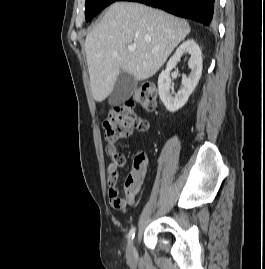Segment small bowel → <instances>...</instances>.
<instances>
[{
    "instance_id": "small-bowel-1",
    "label": "small bowel",
    "mask_w": 265,
    "mask_h": 269,
    "mask_svg": "<svg viewBox=\"0 0 265 269\" xmlns=\"http://www.w3.org/2000/svg\"><path fill=\"white\" fill-rule=\"evenodd\" d=\"M145 127L139 131H147L149 124L146 120ZM106 154L110 157V163L107 167V182H108V198L111 207L124 211L129 206H133L136 201V196L140 192L141 185L145 176L147 160L144 153L136 156L133 168L127 176L124 183L125 196L122 198L119 195L117 181L119 178L118 169L126 163L124 155L120 154L117 146L114 143H108L105 147Z\"/></svg>"
}]
</instances>
